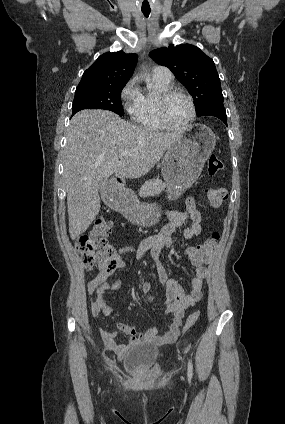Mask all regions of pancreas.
Returning <instances> with one entry per match:
<instances>
[{"mask_svg": "<svg viewBox=\"0 0 285 424\" xmlns=\"http://www.w3.org/2000/svg\"><path fill=\"white\" fill-rule=\"evenodd\" d=\"M166 187V184L159 178L147 181L139 190V196L154 197L159 195Z\"/></svg>", "mask_w": 285, "mask_h": 424, "instance_id": "obj_1", "label": "pancreas"}]
</instances>
